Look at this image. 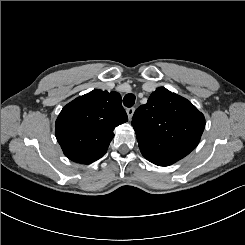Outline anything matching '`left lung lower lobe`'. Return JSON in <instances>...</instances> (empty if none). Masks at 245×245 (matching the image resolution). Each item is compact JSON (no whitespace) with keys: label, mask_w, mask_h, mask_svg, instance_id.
I'll list each match as a JSON object with an SVG mask.
<instances>
[{"label":"left lung lower lobe","mask_w":245,"mask_h":245,"mask_svg":"<svg viewBox=\"0 0 245 245\" xmlns=\"http://www.w3.org/2000/svg\"><path fill=\"white\" fill-rule=\"evenodd\" d=\"M175 162H177V160L170 157H159L154 161V164L159 166H169Z\"/></svg>","instance_id":"obj_1"}]
</instances>
